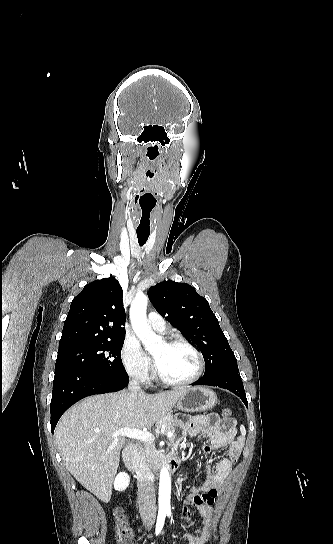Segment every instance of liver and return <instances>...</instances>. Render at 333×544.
Instances as JSON below:
<instances>
[{
  "mask_svg": "<svg viewBox=\"0 0 333 544\" xmlns=\"http://www.w3.org/2000/svg\"><path fill=\"white\" fill-rule=\"evenodd\" d=\"M184 392L134 395L123 390L81 400L62 416L55 429L66 468L87 490L108 502L125 443L124 436L116 438L112 433L122 428L152 427Z\"/></svg>",
  "mask_w": 333,
  "mask_h": 544,
  "instance_id": "obj_1",
  "label": "liver"
}]
</instances>
